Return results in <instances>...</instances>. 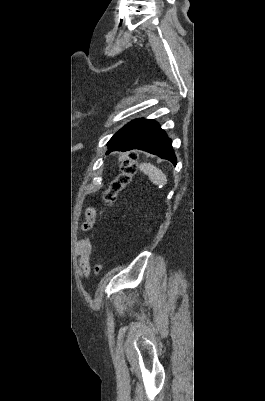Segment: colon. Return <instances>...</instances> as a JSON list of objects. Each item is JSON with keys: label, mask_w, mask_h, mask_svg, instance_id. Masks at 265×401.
Returning a JSON list of instances; mask_svg holds the SVG:
<instances>
[{"label": "colon", "mask_w": 265, "mask_h": 401, "mask_svg": "<svg viewBox=\"0 0 265 401\" xmlns=\"http://www.w3.org/2000/svg\"><path fill=\"white\" fill-rule=\"evenodd\" d=\"M137 170V155L135 153H130L122 162L120 171L111 182L109 188L103 193L102 199L105 205L110 207L115 203L117 196L131 183ZM94 271L96 274H99L102 271V265L96 263Z\"/></svg>", "instance_id": "colon-1"}]
</instances>
